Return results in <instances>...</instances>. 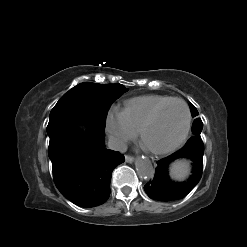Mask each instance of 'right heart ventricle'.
<instances>
[{
  "label": "right heart ventricle",
  "instance_id": "obj_1",
  "mask_svg": "<svg viewBox=\"0 0 247 247\" xmlns=\"http://www.w3.org/2000/svg\"><path fill=\"white\" fill-rule=\"evenodd\" d=\"M170 98L172 97L158 94L131 98L125 102L122 112L128 124L138 132L153 110Z\"/></svg>",
  "mask_w": 247,
  "mask_h": 247
}]
</instances>
